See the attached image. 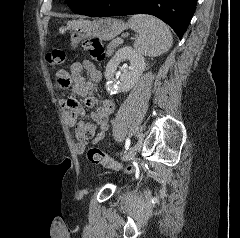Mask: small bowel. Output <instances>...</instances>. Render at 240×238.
<instances>
[{
  "instance_id": "obj_1",
  "label": "small bowel",
  "mask_w": 240,
  "mask_h": 238,
  "mask_svg": "<svg viewBox=\"0 0 240 238\" xmlns=\"http://www.w3.org/2000/svg\"><path fill=\"white\" fill-rule=\"evenodd\" d=\"M83 71L88 73V79L82 76ZM101 78V72L90 61L75 62L71 65L69 72L60 70L55 74L54 89L56 91L72 88L75 94L83 97L87 108H95L90 114L92 122H85L82 119H85L88 114L73 95L60 98L59 103L65 111L67 123L74 132V149L79 154L84 152L90 140L98 143L105 138L114 113L115 105L111 100L105 99L97 105L95 97L91 95L94 84L100 82Z\"/></svg>"
}]
</instances>
